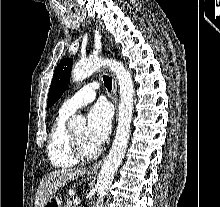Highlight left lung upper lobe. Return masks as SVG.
<instances>
[{
  "instance_id": "1",
  "label": "left lung upper lobe",
  "mask_w": 220,
  "mask_h": 207,
  "mask_svg": "<svg viewBox=\"0 0 220 207\" xmlns=\"http://www.w3.org/2000/svg\"><path fill=\"white\" fill-rule=\"evenodd\" d=\"M72 64V59L65 58L56 67L48 93V107H51L66 90L70 80Z\"/></svg>"
}]
</instances>
